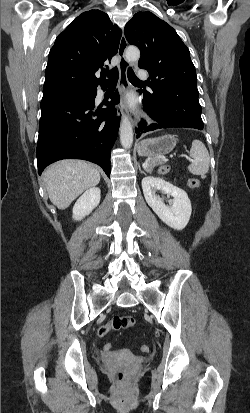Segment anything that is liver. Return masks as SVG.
<instances>
[{"label": "liver", "instance_id": "1", "mask_svg": "<svg viewBox=\"0 0 250 413\" xmlns=\"http://www.w3.org/2000/svg\"><path fill=\"white\" fill-rule=\"evenodd\" d=\"M43 180L50 201L64 210L85 190L100 182V173L88 162L62 160L45 169Z\"/></svg>", "mask_w": 250, "mask_h": 413}]
</instances>
